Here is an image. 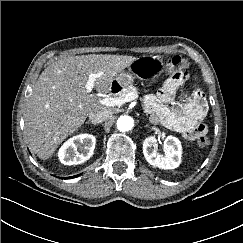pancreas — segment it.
I'll return each mask as SVG.
<instances>
[{"label":"pancreas","mask_w":243,"mask_h":243,"mask_svg":"<svg viewBox=\"0 0 243 243\" xmlns=\"http://www.w3.org/2000/svg\"><path fill=\"white\" fill-rule=\"evenodd\" d=\"M131 92L138 93L137 88L133 85H128L118 94V97L124 98L127 94Z\"/></svg>","instance_id":"1"}]
</instances>
